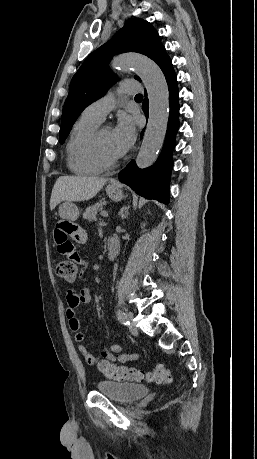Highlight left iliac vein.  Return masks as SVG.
I'll use <instances>...</instances> for the list:
<instances>
[{
    "mask_svg": "<svg viewBox=\"0 0 257 459\" xmlns=\"http://www.w3.org/2000/svg\"><path fill=\"white\" fill-rule=\"evenodd\" d=\"M126 319L129 321L128 329L132 334H137V328L135 327L133 323V314L131 312H128L126 314Z\"/></svg>",
    "mask_w": 257,
    "mask_h": 459,
    "instance_id": "1",
    "label": "left iliac vein"
}]
</instances>
